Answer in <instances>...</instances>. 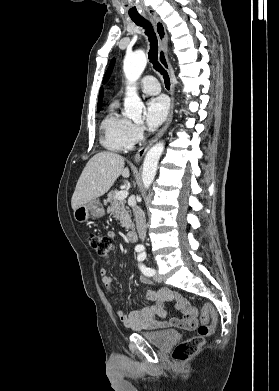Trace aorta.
Listing matches in <instances>:
<instances>
[{"mask_svg":"<svg viewBox=\"0 0 279 391\" xmlns=\"http://www.w3.org/2000/svg\"><path fill=\"white\" fill-rule=\"evenodd\" d=\"M147 64L145 52L141 49L125 56L123 70L128 82L126 88V98L124 100L125 115L138 121L141 119L144 104L139 98L135 83L140 78ZM164 142L153 145L145 155L142 170V181L145 189L152 184L158 167L160 157L164 151Z\"/></svg>","mask_w":279,"mask_h":391,"instance_id":"762f6f07","label":"aorta"}]
</instances>
